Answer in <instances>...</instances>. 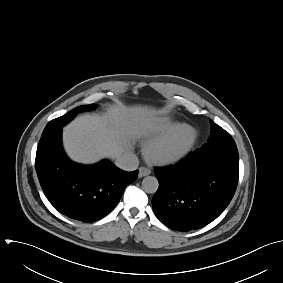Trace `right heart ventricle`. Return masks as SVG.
<instances>
[{
  "instance_id": "1",
  "label": "right heart ventricle",
  "mask_w": 283,
  "mask_h": 283,
  "mask_svg": "<svg viewBox=\"0 0 283 283\" xmlns=\"http://www.w3.org/2000/svg\"><path fill=\"white\" fill-rule=\"evenodd\" d=\"M181 123L174 121L172 119H162L156 123V125L151 129L150 135L153 138H160L172 130L180 126Z\"/></svg>"
}]
</instances>
